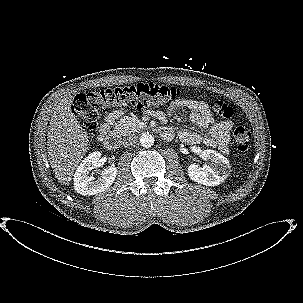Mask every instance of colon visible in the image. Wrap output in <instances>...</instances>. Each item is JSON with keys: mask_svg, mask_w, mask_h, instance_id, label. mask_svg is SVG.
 Listing matches in <instances>:
<instances>
[{"mask_svg": "<svg viewBox=\"0 0 303 303\" xmlns=\"http://www.w3.org/2000/svg\"><path fill=\"white\" fill-rule=\"evenodd\" d=\"M178 96L179 91L173 86L138 83L80 93L74 98L72 109L83 125L89 131H93L97 128L100 117L110 111L118 108L142 110L158 107L175 100ZM212 110L221 119L229 120L234 117L233 109L221 101H214ZM233 136L240 156H244L251 140L249 131L243 127H237Z\"/></svg>", "mask_w": 303, "mask_h": 303, "instance_id": "obj_1", "label": "colon"}]
</instances>
